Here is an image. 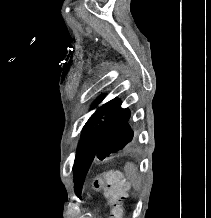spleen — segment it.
<instances>
[{
	"label": "spleen",
	"instance_id": "3e777b00",
	"mask_svg": "<svg viewBox=\"0 0 211 218\" xmlns=\"http://www.w3.org/2000/svg\"><path fill=\"white\" fill-rule=\"evenodd\" d=\"M125 172L128 180H130L135 192H140L141 176H138V170L134 164L128 162L125 166Z\"/></svg>",
	"mask_w": 211,
	"mask_h": 218
}]
</instances>
